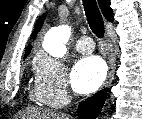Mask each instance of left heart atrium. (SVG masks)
Wrapping results in <instances>:
<instances>
[{
    "label": "left heart atrium",
    "mask_w": 142,
    "mask_h": 119,
    "mask_svg": "<svg viewBox=\"0 0 142 119\" xmlns=\"http://www.w3.org/2000/svg\"><path fill=\"white\" fill-rule=\"evenodd\" d=\"M106 67L103 61L95 56L79 60L71 74L73 89L81 94L95 91L104 81Z\"/></svg>",
    "instance_id": "39dd6f15"
}]
</instances>
